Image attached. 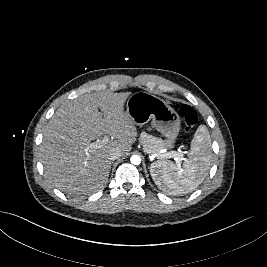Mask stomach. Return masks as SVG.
<instances>
[{
	"label": "stomach",
	"instance_id": "1",
	"mask_svg": "<svg viewBox=\"0 0 267 267\" xmlns=\"http://www.w3.org/2000/svg\"><path fill=\"white\" fill-rule=\"evenodd\" d=\"M126 113L136 125L151 121L166 138L165 148L173 147L180 130V118L164 100L147 92L134 93L127 101Z\"/></svg>",
	"mask_w": 267,
	"mask_h": 267
}]
</instances>
